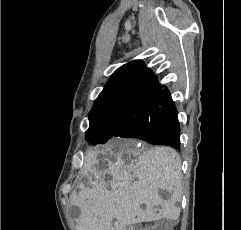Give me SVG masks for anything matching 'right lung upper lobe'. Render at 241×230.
I'll use <instances>...</instances> for the list:
<instances>
[{
	"instance_id": "obj_1",
	"label": "right lung upper lobe",
	"mask_w": 241,
	"mask_h": 230,
	"mask_svg": "<svg viewBox=\"0 0 241 230\" xmlns=\"http://www.w3.org/2000/svg\"><path fill=\"white\" fill-rule=\"evenodd\" d=\"M154 73L141 60L118 68L96 99L89 113L90 122L111 111H135L147 105L160 91Z\"/></svg>"
}]
</instances>
